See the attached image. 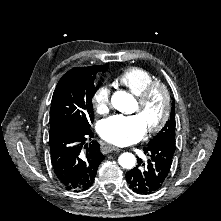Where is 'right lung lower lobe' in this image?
Listing matches in <instances>:
<instances>
[{"label":"right lung lower lobe","mask_w":221,"mask_h":221,"mask_svg":"<svg viewBox=\"0 0 221 221\" xmlns=\"http://www.w3.org/2000/svg\"><path fill=\"white\" fill-rule=\"evenodd\" d=\"M92 137L90 128L74 127H63L49 135L53 169L67 190H86L94 181L104 156L98 142L86 143Z\"/></svg>","instance_id":"98d812e1"}]
</instances>
